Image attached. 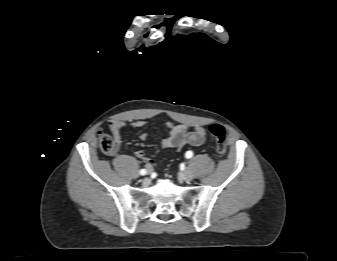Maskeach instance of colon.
<instances>
[{
    "label": "colon",
    "instance_id": "colon-1",
    "mask_svg": "<svg viewBox=\"0 0 337 261\" xmlns=\"http://www.w3.org/2000/svg\"><path fill=\"white\" fill-rule=\"evenodd\" d=\"M208 130L216 140L217 157H224L227 150L225 129L219 124H211L208 126ZM98 141L100 149L103 153L112 154L113 152H115L116 144L109 135L105 133H100Z\"/></svg>",
    "mask_w": 337,
    "mask_h": 261
}]
</instances>
